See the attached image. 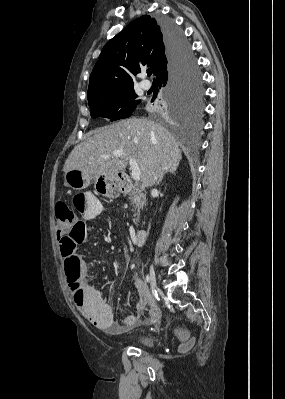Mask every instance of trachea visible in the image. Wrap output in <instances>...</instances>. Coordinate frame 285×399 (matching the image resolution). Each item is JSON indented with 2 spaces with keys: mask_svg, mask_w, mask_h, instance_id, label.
Returning <instances> with one entry per match:
<instances>
[{
  "mask_svg": "<svg viewBox=\"0 0 285 399\" xmlns=\"http://www.w3.org/2000/svg\"><path fill=\"white\" fill-rule=\"evenodd\" d=\"M151 74H152V70H151V69H148V70H147V75L150 76Z\"/></svg>",
  "mask_w": 285,
  "mask_h": 399,
  "instance_id": "3493384b",
  "label": "trachea"
}]
</instances>
